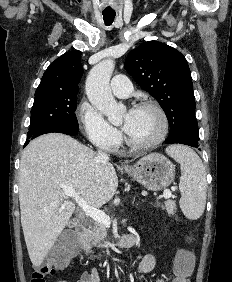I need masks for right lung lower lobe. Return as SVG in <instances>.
Instances as JSON below:
<instances>
[{"instance_id":"1","label":"right lung lower lobe","mask_w":232,"mask_h":282,"mask_svg":"<svg viewBox=\"0 0 232 282\" xmlns=\"http://www.w3.org/2000/svg\"><path fill=\"white\" fill-rule=\"evenodd\" d=\"M52 132L63 133V134L71 135V136L77 134V131L73 130L71 128L64 127V126H55V127L51 128V129H49L47 131H44V132H42L40 134H37V135H34V136L30 137L29 140L26 141L24 146H26L30 142V139H34L37 136H40L42 134L52 133Z\"/></svg>"}]
</instances>
